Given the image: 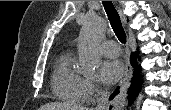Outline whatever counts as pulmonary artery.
I'll use <instances>...</instances> for the list:
<instances>
[{"label":"pulmonary artery","instance_id":"e3ab8cb5","mask_svg":"<svg viewBox=\"0 0 171 110\" xmlns=\"http://www.w3.org/2000/svg\"><path fill=\"white\" fill-rule=\"evenodd\" d=\"M102 52L106 57L114 58L120 54V46L114 40H107L102 44Z\"/></svg>","mask_w":171,"mask_h":110}]
</instances>
